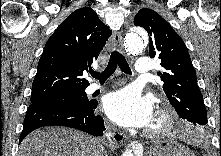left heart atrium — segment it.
<instances>
[{
  "instance_id": "left-heart-atrium-1",
  "label": "left heart atrium",
  "mask_w": 221,
  "mask_h": 156,
  "mask_svg": "<svg viewBox=\"0 0 221 156\" xmlns=\"http://www.w3.org/2000/svg\"><path fill=\"white\" fill-rule=\"evenodd\" d=\"M106 115L127 128H145L154 121L153 101L134 87L109 93L103 102Z\"/></svg>"
}]
</instances>
